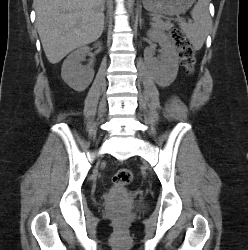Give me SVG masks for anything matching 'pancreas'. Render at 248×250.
Returning <instances> with one entry per match:
<instances>
[{
	"mask_svg": "<svg viewBox=\"0 0 248 250\" xmlns=\"http://www.w3.org/2000/svg\"><path fill=\"white\" fill-rule=\"evenodd\" d=\"M154 27L161 29V30H170L173 27V24L169 21H162L160 19L156 20L153 24Z\"/></svg>",
	"mask_w": 248,
	"mask_h": 250,
	"instance_id": "obj_1",
	"label": "pancreas"
}]
</instances>
